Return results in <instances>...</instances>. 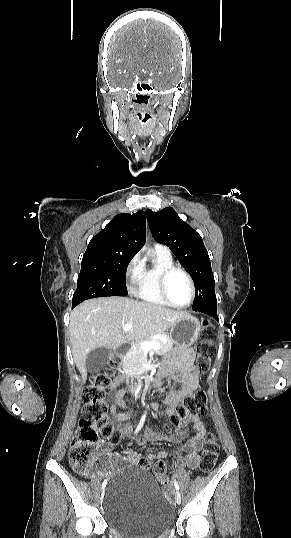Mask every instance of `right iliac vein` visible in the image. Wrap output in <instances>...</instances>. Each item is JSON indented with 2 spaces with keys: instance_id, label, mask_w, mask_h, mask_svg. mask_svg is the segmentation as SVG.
<instances>
[{
  "instance_id": "right-iliac-vein-1",
  "label": "right iliac vein",
  "mask_w": 291,
  "mask_h": 538,
  "mask_svg": "<svg viewBox=\"0 0 291 538\" xmlns=\"http://www.w3.org/2000/svg\"><path fill=\"white\" fill-rule=\"evenodd\" d=\"M104 493H105L104 491L101 493V498H100L101 501H102V499H103V497H104Z\"/></svg>"
}]
</instances>
